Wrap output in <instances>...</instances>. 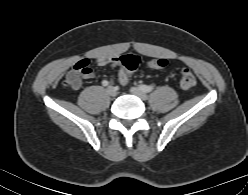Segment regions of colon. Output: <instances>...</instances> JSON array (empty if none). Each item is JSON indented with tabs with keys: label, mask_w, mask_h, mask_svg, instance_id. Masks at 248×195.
Here are the masks:
<instances>
[{
	"label": "colon",
	"mask_w": 248,
	"mask_h": 195,
	"mask_svg": "<svg viewBox=\"0 0 248 195\" xmlns=\"http://www.w3.org/2000/svg\"><path fill=\"white\" fill-rule=\"evenodd\" d=\"M141 63V58L133 55L126 54L120 57V64L129 74L137 69ZM147 65L151 68L161 69L168 65V61L163 58H153L147 61ZM87 66L89 63L85 60L79 61L67 74L64 85L69 88H78L81 84V78L86 73ZM196 85V77L194 73L188 69L184 68L180 74V86L184 90H191Z\"/></svg>",
	"instance_id": "5ec220e1"
}]
</instances>
